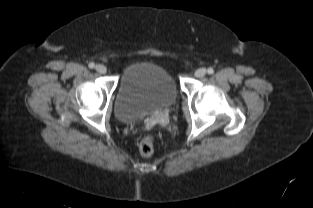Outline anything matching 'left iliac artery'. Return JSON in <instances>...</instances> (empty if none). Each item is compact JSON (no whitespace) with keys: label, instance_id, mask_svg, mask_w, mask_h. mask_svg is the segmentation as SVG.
Wrapping results in <instances>:
<instances>
[{"label":"left iliac artery","instance_id":"1","mask_svg":"<svg viewBox=\"0 0 313 208\" xmlns=\"http://www.w3.org/2000/svg\"><path fill=\"white\" fill-rule=\"evenodd\" d=\"M207 72H208V74H213L214 73V69L210 67V68H208Z\"/></svg>","mask_w":313,"mask_h":208}]
</instances>
